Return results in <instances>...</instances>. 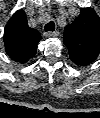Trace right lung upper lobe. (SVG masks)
Instances as JSON below:
<instances>
[{
    "label": "right lung upper lobe",
    "instance_id": "right-lung-upper-lobe-1",
    "mask_svg": "<svg viewBox=\"0 0 100 118\" xmlns=\"http://www.w3.org/2000/svg\"><path fill=\"white\" fill-rule=\"evenodd\" d=\"M41 39L39 32L28 26L23 10L15 12L5 26V49L16 62L25 63L33 57Z\"/></svg>",
    "mask_w": 100,
    "mask_h": 118
}]
</instances>
